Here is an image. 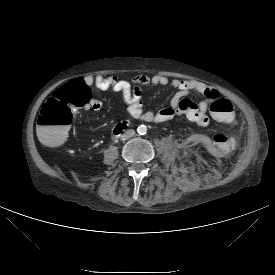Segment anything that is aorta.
<instances>
[{
  "mask_svg": "<svg viewBox=\"0 0 275 275\" xmlns=\"http://www.w3.org/2000/svg\"><path fill=\"white\" fill-rule=\"evenodd\" d=\"M146 131H147V128H146L145 125H140V126H138V128H137V132H138L140 135L146 134Z\"/></svg>",
  "mask_w": 275,
  "mask_h": 275,
  "instance_id": "1",
  "label": "aorta"
}]
</instances>
